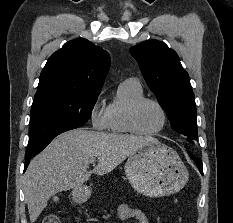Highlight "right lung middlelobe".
<instances>
[{
    "label": "right lung middle lobe",
    "mask_w": 233,
    "mask_h": 223,
    "mask_svg": "<svg viewBox=\"0 0 233 223\" xmlns=\"http://www.w3.org/2000/svg\"><path fill=\"white\" fill-rule=\"evenodd\" d=\"M99 94L50 92L35 96L25 156L42 151L57 135L85 124Z\"/></svg>",
    "instance_id": "dd1d6c3e"
}]
</instances>
